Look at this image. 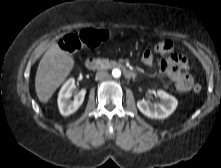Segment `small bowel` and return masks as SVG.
I'll return each mask as SVG.
<instances>
[{
    "mask_svg": "<svg viewBox=\"0 0 221 168\" xmlns=\"http://www.w3.org/2000/svg\"><path fill=\"white\" fill-rule=\"evenodd\" d=\"M173 50V49H172ZM153 54L147 50L142 55L145 65L153 64ZM187 61L179 53H170L160 64V72L166 74L179 92H188L193 86L192 77L186 72Z\"/></svg>",
    "mask_w": 221,
    "mask_h": 168,
    "instance_id": "c3829d8e",
    "label": "small bowel"
}]
</instances>
